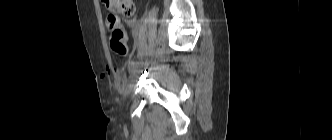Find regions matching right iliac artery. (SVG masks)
<instances>
[{
	"label": "right iliac artery",
	"mask_w": 332,
	"mask_h": 140,
	"mask_svg": "<svg viewBox=\"0 0 332 140\" xmlns=\"http://www.w3.org/2000/svg\"><path fill=\"white\" fill-rule=\"evenodd\" d=\"M134 61H129V63H128V69L130 70V69H132L133 68V66H134Z\"/></svg>",
	"instance_id": "82829eb1"
}]
</instances>
